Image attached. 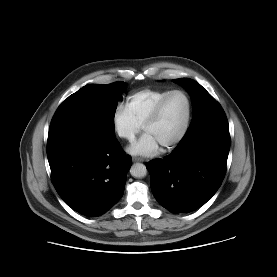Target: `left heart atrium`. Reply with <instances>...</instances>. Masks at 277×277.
Segmentation results:
<instances>
[{
	"label": "left heart atrium",
	"instance_id": "39dd6f15",
	"mask_svg": "<svg viewBox=\"0 0 277 277\" xmlns=\"http://www.w3.org/2000/svg\"><path fill=\"white\" fill-rule=\"evenodd\" d=\"M160 144L148 132L144 133L137 141L132 143L127 151L134 156L149 157L158 153Z\"/></svg>",
	"mask_w": 277,
	"mask_h": 277
}]
</instances>
